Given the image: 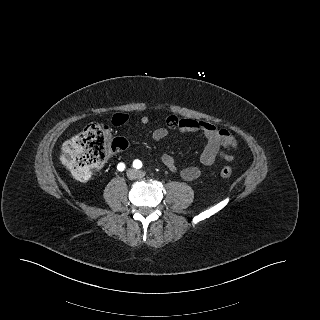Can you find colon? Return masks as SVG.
<instances>
[{"instance_id": "5ec220e1", "label": "colon", "mask_w": 320, "mask_h": 320, "mask_svg": "<svg viewBox=\"0 0 320 320\" xmlns=\"http://www.w3.org/2000/svg\"><path fill=\"white\" fill-rule=\"evenodd\" d=\"M126 146L125 139L112 137L111 128L108 125L91 123L63 145L61 161L75 178L87 180L104 162L109 151L124 149ZM220 175L223 178H230L231 168L222 167Z\"/></svg>"}]
</instances>
